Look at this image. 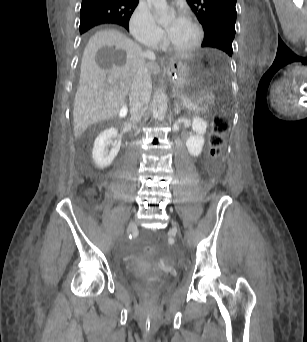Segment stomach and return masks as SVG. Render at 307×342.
Wrapping results in <instances>:
<instances>
[{"mask_svg":"<svg viewBox=\"0 0 307 342\" xmlns=\"http://www.w3.org/2000/svg\"><path fill=\"white\" fill-rule=\"evenodd\" d=\"M198 66L195 58H179L171 61L167 75L174 85L176 96L194 100L198 94L194 88V74Z\"/></svg>","mask_w":307,"mask_h":342,"instance_id":"0dacf381","label":"stomach"}]
</instances>
